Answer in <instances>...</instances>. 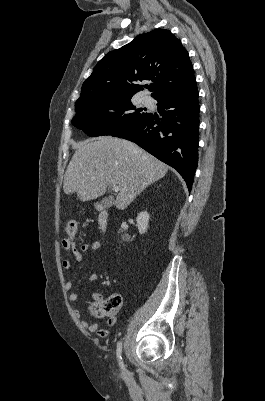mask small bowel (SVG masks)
<instances>
[{
    "label": "small bowel",
    "instance_id": "small-bowel-1",
    "mask_svg": "<svg viewBox=\"0 0 265 401\" xmlns=\"http://www.w3.org/2000/svg\"><path fill=\"white\" fill-rule=\"evenodd\" d=\"M62 245H63V247H64L68 252H70V253L73 255V257H74L77 261H79V262L83 261V259H84L83 254H84V253L91 252V251H96V250H98V249L100 248V246H101L100 243L97 242V241H94V242H86V243H83V244H81L80 246H78L75 242H73V241H72V242H68L66 239H64V240L62 241ZM72 264H73V263H72V260H71V259H65V260L62 262V267H63L65 270H69V269L72 267ZM87 279H88V281H90V282H94V281H96V280L98 279V275H97L96 273H92V274H90V275L88 276ZM72 286H73V284H72L71 281H67L66 284H65V287H66L67 290H70V289L72 288ZM94 298H95L96 301L101 300V296L98 295V294H95V295H94ZM69 300H70L71 302H76V301L78 300V294H77L76 292H71V293L69 294ZM74 314H75V316H76L77 318H80V317H81V312H80L79 309H75V310H74ZM108 323H109L110 325H111V324H114V323H115V318H114V317L110 318V319L108 320ZM81 326H82L83 328H85L86 330H88L89 332L98 334V335H100V336H106V335L108 334V331H107V330L100 328L99 325L96 324V323L90 324V323H88L87 321L82 320V321H81Z\"/></svg>",
    "mask_w": 265,
    "mask_h": 401
}]
</instances>
